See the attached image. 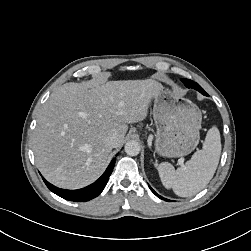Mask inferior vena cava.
I'll use <instances>...</instances> for the list:
<instances>
[{
    "instance_id": "1",
    "label": "inferior vena cava",
    "mask_w": 251,
    "mask_h": 251,
    "mask_svg": "<svg viewBox=\"0 0 251 251\" xmlns=\"http://www.w3.org/2000/svg\"><path fill=\"white\" fill-rule=\"evenodd\" d=\"M105 143L108 146H110L112 148H115L116 145H117V135L111 134V135L107 136L106 139H105Z\"/></svg>"
}]
</instances>
